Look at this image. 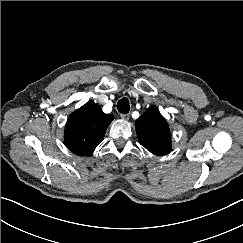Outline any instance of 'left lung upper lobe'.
I'll list each match as a JSON object with an SVG mask.
<instances>
[{
	"label": "left lung upper lobe",
	"mask_w": 243,
	"mask_h": 243,
	"mask_svg": "<svg viewBox=\"0 0 243 243\" xmlns=\"http://www.w3.org/2000/svg\"><path fill=\"white\" fill-rule=\"evenodd\" d=\"M138 140L151 153L162 156L171 150L169 126L155 106L149 107L135 123Z\"/></svg>",
	"instance_id": "left-lung-upper-lobe-1"
}]
</instances>
